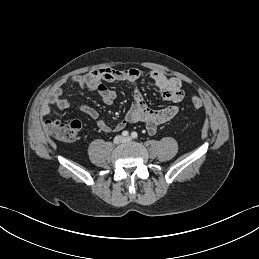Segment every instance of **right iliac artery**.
<instances>
[{"label": "right iliac artery", "instance_id": "82829eb1", "mask_svg": "<svg viewBox=\"0 0 259 259\" xmlns=\"http://www.w3.org/2000/svg\"><path fill=\"white\" fill-rule=\"evenodd\" d=\"M122 135H123V136H128L129 133H128V131H123V132H122Z\"/></svg>", "mask_w": 259, "mask_h": 259}]
</instances>
